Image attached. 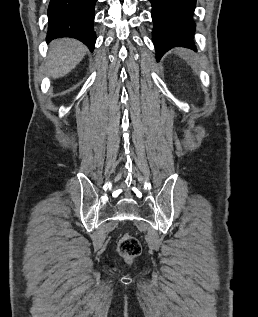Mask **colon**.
I'll return each instance as SVG.
<instances>
[{
    "mask_svg": "<svg viewBox=\"0 0 258 317\" xmlns=\"http://www.w3.org/2000/svg\"><path fill=\"white\" fill-rule=\"evenodd\" d=\"M118 251L124 258L132 259L140 254L141 245L135 237L124 235L119 241Z\"/></svg>",
    "mask_w": 258,
    "mask_h": 317,
    "instance_id": "1",
    "label": "colon"
}]
</instances>
